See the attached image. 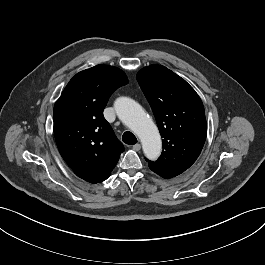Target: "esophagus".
<instances>
[{
    "instance_id": "obj_1",
    "label": "esophagus",
    "mask_w": 265,
    "mask_h": 265,
    "mask_svg": "<svg viewBox=\"0 0 265 265\" xmlns=\"http://www.w3.org/2000/svg\"><path fill=\"white\" fill-rule=\"evenodd\" d=\"M133 150L139 151L141 149V145L139 143L132 146Z\"/></svg>"
}]
</instances>
